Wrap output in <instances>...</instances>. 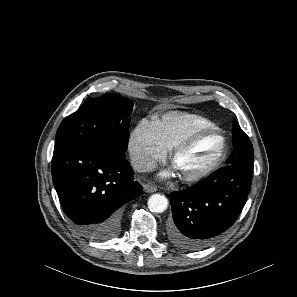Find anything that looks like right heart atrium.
Returning a JSON list of instances; mask_svg holds the SVG:
<instances>
[{
    "label": "right heart atrium",
    "mask_w": 297,
    "mask_h": 297,
    "mask_svg": "<svg viewBox=\"0 0 297 297\" xmlns=\"http://www.w3.org/2000/svg\"><path fill=\"white\" fill-rule=\"evenodd\" d=\"M128 153L133 168L140 172L151 170L167 153L157 138L153 122L141 120L130 133Z\"/></svg>",
    "instance_id": "1"
}]
</instances>
